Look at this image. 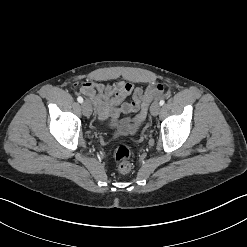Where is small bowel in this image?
Segmentation results:
<instances>
[{
    "label": "small bowel",
    "mask_w": 247,
    "mask_h": 247,
    "mask_svg": "<svg viewBox=\"0 0 247 247\" xmlns=\"http://www.w3.org/2000/svg\"><path fill=\"white\" fill-rule=\"evenodd\" d=\"M162 89L159 84H151L146 89H142L125 81L112 85L89 81L81 86L80 92L90 99L100 120L115 125L121 133H130L143 123L149 104ZM129 96L132 97V101L124 102ZM135 112L138 114L134 119L117 122L120 113Z\"/></svg>",
    "instance_id": "small-bowel-1"
}]
</instances>
